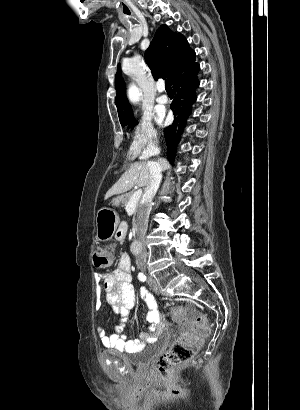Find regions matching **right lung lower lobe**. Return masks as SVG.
I'll return each instance as SVG.
<instances>
[{
  "instance_id": "1",
  "label": "right lung lower lobe",
  "mask_w": 300,
  "mask_h": 410,
  "mask_svg": "<svg viewBox=\"0 0 300 410\" xmlns=\"http://www.w3.org/2000/svg\"><path fill=\"white\" fill-rule=\"evenodd\" d=\"M199 70L200 66L194 60L186 70L178 74L171 82L175 92L174 100L171 103L174 121L164 130L168 148L167 157L171 162L175 157V148L186 127L187 119L192 112V105L197 98L195 91L200 84L197 77Z\"/></svg>"
}]
</instances>
